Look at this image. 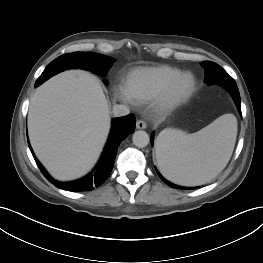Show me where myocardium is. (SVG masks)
<instances>
[{"mask_svg": "<svg viewBox=\"0 0 263 263\" xmlns=\"http://www.w3.org/2000/svg\"><path fill=\"white\" fill-rule=\"evenodd\" d=\"M189 79L190 83L180 90L181 83ZM197 85L196 77L191 72H181L171 79L154 98V107L160 113H167L185 103L193 95Z\"/></svg>", "mask_w": 263, "mask_h": 263, "instance_id": "myocardium-1", "label": "myocardium"}]
</instances>
